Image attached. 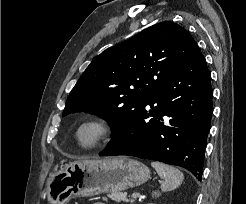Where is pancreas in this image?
I'll return each instance as SVG.
<instances>
[{
	"instance_id": "1",
	"label": "pancreas",
	"mask_w": 246,
	"mask_h": 204,
	"mask_svg": "<svg viewBox=\"0 0 246 204\" xmlns=\"http://www.w3.org/2000/svg\"><path fill=\"white\" fill-rule=\"evenodd\" d=\"M108 196L109 198H111L112 200L116 202H129L127 198V194L123 192L114 191V192H111Z\"/></svg>"
}]
</instances>
